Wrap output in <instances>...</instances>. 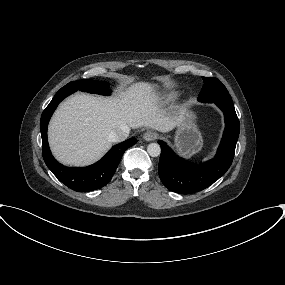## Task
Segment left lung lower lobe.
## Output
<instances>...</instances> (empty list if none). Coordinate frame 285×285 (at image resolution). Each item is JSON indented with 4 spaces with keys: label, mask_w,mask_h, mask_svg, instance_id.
<instances>
[{
    "label": "left lung lower lobe",
    "mask_w": 285,
    "mask_h": 285,
    "mask_svg": "<svg viewBox=\"0 0 285 285\" xmlns=\"http://www.w3.org/2000/svg\"><path fill=\"white\" fill-rule=\"evenodd\" d=\"M216 105L225 116V131L215 157L205 163L194 165L176 156L163 141L158 172L162 183L171 191L190 194L212 185L229 169L239 137L240 123L234 105Z\"/></svg>",
    "instance_id": "1"
}]
</instances>
